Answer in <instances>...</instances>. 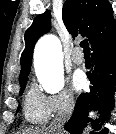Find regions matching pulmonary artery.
I'll return each instance as SVG.
<instances>
[{"label":"pulmonary artery","mask_w":116,"mask_h":134,"mask_svg":"<svg viewBox=\"0 0 116 134\" xmlns=\"http://www.w3.org/2000/svg\"><path fill=\"white\" fill-rule=\"evenodd\" d=\"M71 59L75 64H82L84 62V57L81 53H79V50L76 49L72 55H71Z\"/></svg>","instance_id":"pulmonary-artery-1"}]
</instances>
